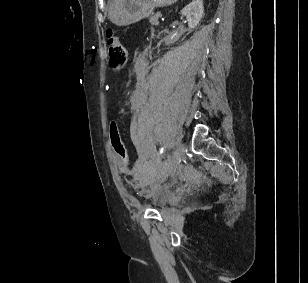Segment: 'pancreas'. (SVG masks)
Wrapping results in <instances>:
<instances>
[{"label": "pancreas", "instance_id": "1", "mask_svg": "<svg viewBox=\"0 0 308 283\" xmlns=\"http://www.w3.org/2000/svg\"><path fill=\"white\" fill-rule=\"evenodd\" d=\"M158 19H159L158 13L149 17L150 23L154 26H157L159 24Z\"/></svg>", "mask_w": 308, "mask_h": 283}]
</instances>
